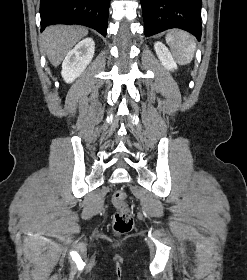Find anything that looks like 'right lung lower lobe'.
<instances>
[{
    "label": "right lung lower lobe",
    "mask_w": 247,
    "mask_h": 280,
    "mask_svg": "<svg viewBox=\"0 0 247 280\" xmlns=\"http://www.w3.org/2000/svg\"><path fill=\"white\" fill-rule=\"evenodd\" d=\"M110 0H41V31L57 24H83L97 30L104 37Z\"/></svg>",
    "instance_id": "obj_1"
}]
</instances>
